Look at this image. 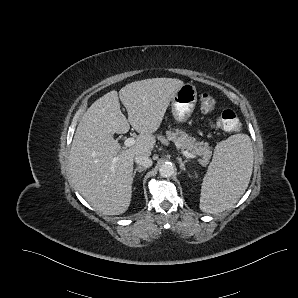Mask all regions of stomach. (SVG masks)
<instances>
[{
  "label": "stomach",
  "mask_w": 298,
  "mask_h": 298,
  "mask_svg": "<svg viewBox=\"0 0 298 298\" xmlns=\"http://www.w3.org/2000/svg\"><path fill=\"white\" fill-rule=\"evenodd\" d=\"M198 99V91L193 83L185 82L171 99V112L177 122L190 117Z\"/></svg>",
  "instance_id": "0dacf381"
}]
</instances>
